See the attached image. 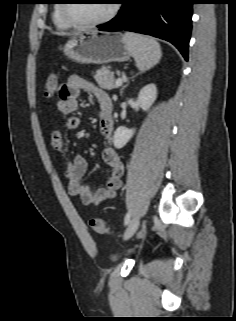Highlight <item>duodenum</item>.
<instances>
[{
	"mask_svg": "<svg viewBox=\"0 0 236 321\" xmlns=\"http://www.w3.org/2000/svg\"><path fill=\"white\" fill-rule=\"evenodd\" d=\"M113 109H114V103L111 101V102L109 103V110L112 112Z\"/></svg>",
	"mask_w": 236,
	"mask_h": 321,
	"instance_id": "410a0bca",
	"label": "duodenum"
}]
</instances>
